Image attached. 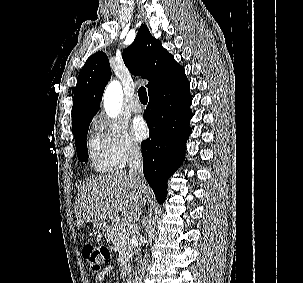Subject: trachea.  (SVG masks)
I'll list each match as a JSON object with an SVG mask.
<instances>
[{"instance_id":"3493384b","label":"trachea","mask_w":303,"mask_h":283,"mask_svg":"<svg viewBox=\"0 0 303 283\" xmlns=\"http://www.w3.org/2000/svg\"><path fill=\"white\" fill-rule=\"evenodd\" d=\"M138 96H139L140 101H147L148 100L147 92H146V89L144 87L139 88Z\"/></svg>"}]
</instances>
